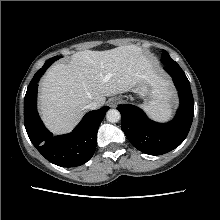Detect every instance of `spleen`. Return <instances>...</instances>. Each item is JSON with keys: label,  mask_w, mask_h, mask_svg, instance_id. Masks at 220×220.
<instances>
[{"label": "spleen", "mask_w": 220, "mask_h": 220, "mask_svg": "<svg viewBox=\"0 0 220 220\" xmlns=\"http://www.w3.org/2000/svg\"><path fill=\"white\" fill-rule=\"evenodd\" d=\"M145 111L150 118L156 121H166L172 116V105L167 96L155 95L145 106Z\"/></svg>", "instance_id": "1"}]
</instances>
